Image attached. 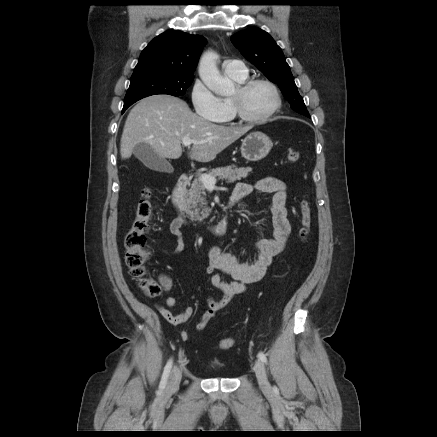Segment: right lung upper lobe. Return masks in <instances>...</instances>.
<instances>
[{"label": "right lung upper lobe", "mask_w": 437, "mask_h": 437, "mask_svg": "<svg viewBox=\"0 0 437 437\" xmlns=\"http://www.w3.org/2000/svg\"><path fill=\"white\" fill-rule=\"evenodd\" d=\"M206 39L182 31H166L142 51L134 72L155 69L178 76H193Z\"/></svg>", "instance_id": "1"}]
</instances>
